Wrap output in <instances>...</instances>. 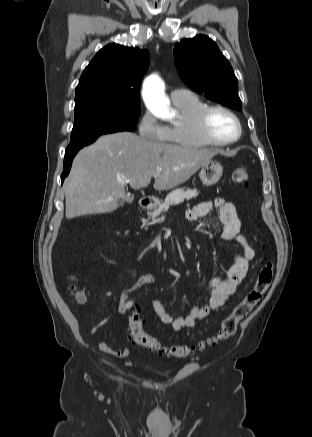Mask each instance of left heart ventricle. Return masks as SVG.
I'll return each instance as SVG.
<instances>
[{
  "label": "left heart ventricle",
  "mask_w": 312,
  "mask_h": 437,
  "mask_svg": "<svg viewBox=\"0 0 312 437\" xmlns=\"http://www.w3.org/2000/svg\"><path fill=\"white\" fill-rule=\"evenodd\" d=\"M207 127L210 134L219 140H227L237 133L234 119L223 111H214L210 114Z\"/></svg>",
  "instance_id": "left-heart-ventricle-1"
}]
</instances>
